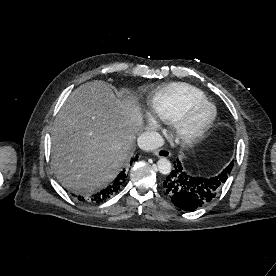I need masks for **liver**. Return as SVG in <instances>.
<instances>
[{"label":"liver","instance_id":"liver-1","mask_svg":"<svg viewBox=\"0 0 276 276\" xmlns=\"http://www.w3.org/2000/svg\"><path fill=\"white\" fill-rule=\"evenodd\" d=\"M142 126L134 95L117 97L101 80L79 86L64 102L52 128L57 179L75 194L106 186L129 158Z\"/></svg>","mask_w":276,"mask_h":276}]
</instances>
